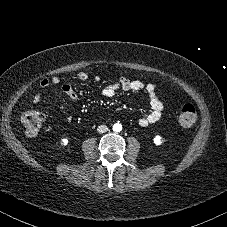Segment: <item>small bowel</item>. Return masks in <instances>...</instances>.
I'll return each mask as SVG.
<instances>
[{"instance_id":"1","label":"small bowel","mask_w":227,"mask_h":227,"mask_svg":"<svg viewBox=\"0 0 227 227\" xmlns=\"http://www.w3.org/2000/svg\"><path fill=\"white\" fill-rule=\"evenodd\" d=\"M77 77L81 82H86L89 78L88 74L85 72H80ZM94 80L98 82L99 77H95ZM52 85L58 86L60 92L71 100H79V94L74 87L68 83H64L61 78L53 77L51 79H43L40 82V87L42 89H46ZM137 91H145L149 98L150 111L144 117L138 119L139 126H148L158 121L161 118L163 112V104L157 94V89L154 84L144 83L141 80H130L126 77H121L116 82L106 85L103 89V95L106 97H112L117 92ZM41 99L42 92L37 91L33 96L32 103L37 105L40 103ZM69 120L70 118L68 117L67 121Z\"/></svg>"}]
</instances>
